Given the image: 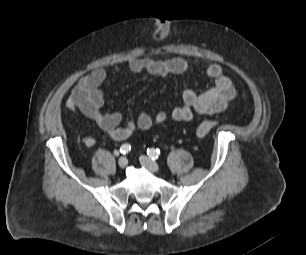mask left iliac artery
<instances>
[{
    "label": "left iliac artery",
    "mask_w": 306,
    "mask_h": 255,
    "mask_svg": "<svg viewBox=\"0 0 306 255\" xmlns=\"http://www.w3.org/2000/svg\"><path fill=\"white\" fill-rule=\"evenodd\" d=\"M147 154L152 160H155L160 156V150L154 148H148Z\"/></svg>",
    "instance_id": "obj_1"
}]
</instances>
